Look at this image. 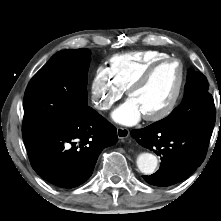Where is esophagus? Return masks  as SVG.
Listing matches in <instances>:
<instances>
[{"label":"esophagus","instance_id":"esophagus-1","mask_svg":"<svg viewBox=\"0 0 221 221\" xmlns=\"http://www.w3.org/2000/svg\"><path fill=\"white\" fill-rule=\"evenodd\" d=\"M129 130L127 128H117V136L119 139H125L129 136Z\"/></svg>","mask_w":221,"mask_h":221}]
</instances>
